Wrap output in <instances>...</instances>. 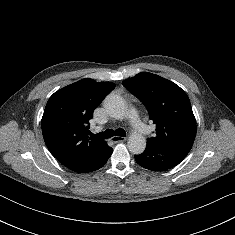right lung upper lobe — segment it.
<instances>
[{"mask_svg": "<svg viewBox=\"0 0 235 235\" xmlns=\"http://www.w3.org/2000/svg\"><path fill=\"white\" fill-rule=\"evenodd\" d=\"M115 88L111 82L82 79L55 92L48 100L41 121L44 141L65 167L80 172L106 146L89 138L94 109Z\"/></svg>", "mask_w": 235, "mask_h": 235, "instance_id": "1", "label": "right lung upper lobe"}]
</instances>
